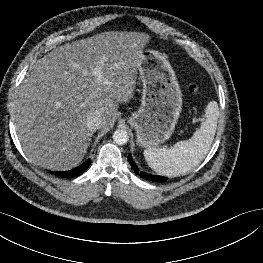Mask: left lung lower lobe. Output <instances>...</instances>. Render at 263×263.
Instances as JSON below:
<instances>
[{
  "label": "left lung lower lobe",
  "instance_id": "0a47b994",
  "mask_svg": "<svg viewBox=\"0 0 263 263\" xmlns=\"http://www.w3.org/2000/svg\"><path fill=\"white\" fill-rule=\"evenodd\" d=\"M129 163L131 165V167L134 169L135 173L138 174V168L135 165V163L131 160L130 156L128 157ZM140 175L142 177H145L149 180L155 181V182H165L167 180L166 177H161V176H154V175H150L144 172H141Z\"/></svg>",
  "mask_w": 263,
  "mask_h": 263
}]
</instances>
